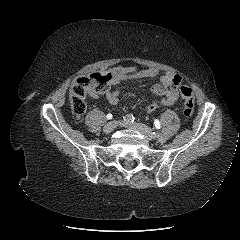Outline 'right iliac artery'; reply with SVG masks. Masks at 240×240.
Returning <instances> with one entry per match:
<instances>
[{
	"instance_id": "82829eb1",
	"label": "right iliac artery",
	"mask_w": 240,
	"mask_h": 240,
	"mask_svg": "<svg viewBox=\"0 0 240 240\" xmlns=\"http://www.w3.org/2000/svg\"><path fill=\"white\" fill-rule=\"evenodd\" d=\"M125 123H132L134 121V116L132 114H127L123 117Z\"/></svg>"
}]
</instances>
